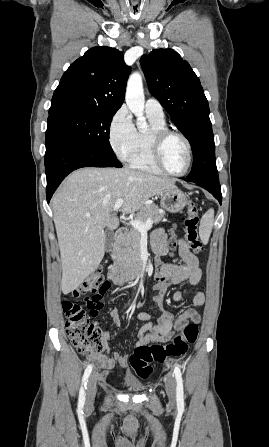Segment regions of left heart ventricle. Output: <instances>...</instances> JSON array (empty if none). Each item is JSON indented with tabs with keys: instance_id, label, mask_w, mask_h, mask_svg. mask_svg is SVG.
<instances>
[{
	"instance_id": "left-heart-ventricle-1",
	"label": "left heart ventricle",
	"mask_w": 269,
	"mask_h": 447,
	"mask_svg": "<svg viewBox=\"0 0 269 447\" xmlns=\"http://www.w3.org/2000/svg\"><path fill=\"white\" fill-rule=\"evenodd\" d=\"M164 159L168 167L181 171L187 163L186 145L182 139L171 136L164 144Z\"/></svg>"
}]
</instances>
